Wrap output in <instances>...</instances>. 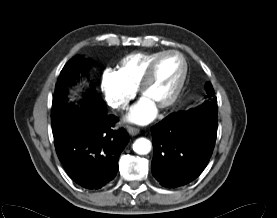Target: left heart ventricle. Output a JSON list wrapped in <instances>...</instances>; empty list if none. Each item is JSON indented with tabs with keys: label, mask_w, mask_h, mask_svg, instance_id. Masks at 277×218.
Instances as JSON below:
<instances>
[{
	"label": "left heart ventricle",
	"mask_w": 277,
	"mask_h": 218,
	"mask_svg": "<svg viewBox=\"0 0 277 218\" xmlns=\"http://www.w3.org/2000/svg\"><path fill=\"white\" fill-rule=\"evenodd\" d=\"M183 65L176 55H168L158 63L154 77L146 87L143 96L148 98L156 107L166 102L175 90Z\"/></svg>",
	"instance_id": "1"
}]
</instances>
